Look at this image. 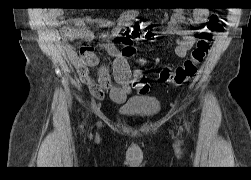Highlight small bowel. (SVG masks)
<instances>
[{"label":"small bowel","mask_w":251,"mask_h":180,"mask_svg":"<svg viewBox=\"0 0 251 180\" xmlns=\"http://www.w3.org/2000/svg\"><path fill=\"white\" fill-rule=\"evenodd\" d=\"M63 12L61 10H52L47 14V21L50 25L59 24ZM209 11L206 8H196L191 17H186L183 11L176 10L164 30V34L176 37L175 55L183 58L195 43L193 29H186L184 24H190L195 28H200L207 19ZM139 12L135 9H129L123 12L117 21L108 19L96 21L104 27H111L110 36H118L123 29L132 25L138 20ZM94 22L87 17L73 19L70 24L61 29L62 44L75 62L81 81L87 86L92 96L98 99L104 97L106 91L110 98L116 103H122L127 96L135 89L140 95L149 92V84L139 71H132L127 58L108 40L107 36L99 46L109 53L113 58L112 70L101 66L97 78L92 77L88 68L98 64V58L94 52L93 46H85L80 49L78 54L75 48L70 44L73 40H83L92 42L96 39L95 34L90 30L88 24Z\"/></svg>","instance_id":"1"}]
</instances>
